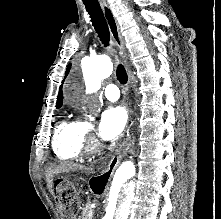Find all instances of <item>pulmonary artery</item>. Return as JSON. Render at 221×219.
I'll list each match as a JSON object with an SVG mask.
<instances>
[{"label": "pulmonary artery", "instance_id": "obj_1", "mask_svg": "<svg viewBox=\"0 0 221 219\" xmlns=\"http://www.w3.org/2000/svg\"><path fill=\"white\" fill-rule=\"evenodd\" d=\"M104 95L110 101H116L120 97V92L115 84H109L104 88Z\"/></svg>", "mask_w": 221, "mask_h": 219}]
</instances>
